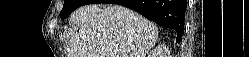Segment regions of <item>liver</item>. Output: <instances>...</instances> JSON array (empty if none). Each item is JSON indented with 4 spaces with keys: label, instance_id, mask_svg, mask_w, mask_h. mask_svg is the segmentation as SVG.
I'll list each match as a JSON object with an SVG mask.
<instances>
[{
    "label": "liver",
    "instance_id": "obj_1",
    "mask_svg": "<svg viewBox=\"0 0 249 57\" xmlns=\"http://www.w3.org/2000/svg\"><path fill=\"white\" fill-rule=\"evenodd\" d=\"M70 22L79 31L66 32L68 57H145L158 39L154 23L116 4L82 6Z\"/></svg>",
    "mask_w": 249,
    "mask_h": 57
}]
</instances>
